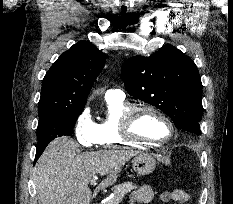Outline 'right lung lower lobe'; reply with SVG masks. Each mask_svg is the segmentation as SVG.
<instances>
[{
    "mask_svg": "<svg viewBox=\"0 0 233 204\" xmlns=\"http://www.w3.org/2000/svg\"><path fill=\"white\" fill-rule=\"evenodd\" d=\"M47 145H48V144L37 146V149H36V156H35V161H34V163H36L37 159L40 157V155L42 154V152L44 151V149L46 148Z\"/></svg>",
    "mask_w": 233,
    "mask_h": 204,
    "instance_id": "98d812e1",
    "label": "right lung lower lobe"
}]
</instances>
